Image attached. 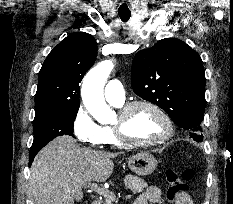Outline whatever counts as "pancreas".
<instances>
[{
	"label": "pancreas",
	"mask_w": 233,
	"mask_h": 204,
	"mask_svg": "<svg viewBox=\"0 0 233 204\" xmlns=\"http://www.w3.org/2000/svg\"><path fill=\"white\" fill-rule=\"evenodd\" d=\"M124 183L127 189H130L133 193H140L148 184L141 178L134 175H126L124 178ZM117 203L115 196L106 197L102 204H113Z\"/></svg>",
	"instance_id": "pancreas-1"
}]
</instances>
